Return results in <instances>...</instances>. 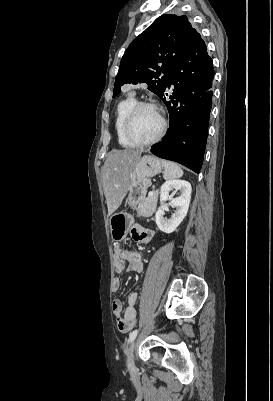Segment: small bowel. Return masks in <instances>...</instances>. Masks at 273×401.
I'll use <instances>...</instances> for the list:
<instances>
[{"label":"small bowel","mask_w":273,"mask_h":401,"mask_svg":"<svg viewBox=\"0 0 273 401\" xmlns=\"http://www.w3.org/2000/svg\"><path fill=\"white\" fill-rule=\"evenodd\" d=\"M153 234L154 231L152 228H130L129 230L130 237H134L135 239L141 237V240L144 242H148ZM113 258L114 271L118 275L123 274L125 271L139 273L142 270L141 257L137 252L115 246ZM112 288L114 291H118L121 288V279L119 277L113 280ZM138 300L139 294L137 292L129 294L126 307H123L120 300H114L113 313L119 331L126 332L135 326L137 321L136 306Z\"/></svg>","instance_id":"small-bowel-1"}]
</instances>
